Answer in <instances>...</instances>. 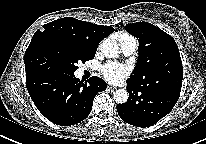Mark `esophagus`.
Returning a JSON list of instances; mask_svg holds the SVG:
<instances>
[{
	"mask_svg": "<svg viewBox=\"0 0 206 144\" xmlns=\"http://www.w3.org/2000/svg\"><path fill=\"white\" fill-rule=\"evenodd\" d=\"M108 88H109L110 90L116 89V87H115V86H112V85H108Z\"/></svg>",
	"mask_w": 206,
	"mask_h": 144,
	"instance_id": "obj_1",
	"label": "esophagus"
}]
</instances>
